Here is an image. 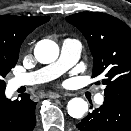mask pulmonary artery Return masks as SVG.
Listing matches in <instances>:
<instances>
[{"mask_svg":"<svg viewBox=\"0 0 131 131\" xmlns=\"http://www.w3.org/2000/svg\"><path fill=\"white\" fill-rule=\"evenodd\" d=\"M81 48V43L78 40L70 38L65 39L62 42L60 57L56 62L35 72L17 75L13 78L12 85L15 88L25 85H34L60 76L79 60ZM103 100L104 95L102 93L96 94V103L101 104Z\"/></svg>","mask_w":131,"mask_h":131,"instance_id":"obj_1","label":"pulmonary artery"}]
</instances>
